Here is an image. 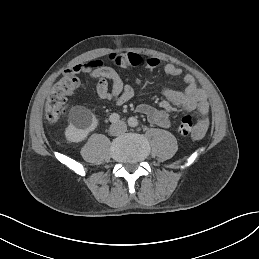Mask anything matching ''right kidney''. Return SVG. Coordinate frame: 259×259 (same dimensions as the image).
Listing matches in <instances>:
<instances>
[{"label":"right kidney","instance_id":"obj_1","mask_svg":"<svg viewBox=\"0 0 259 259\" xmlns=\"http://www.w3.org/2000/svg\"><path fill=\"white\" fill-rule=\"evenodd\" d=\"M69 122L70 124L65 130V136L70 142L84 140L88 133L98 125L95 115L83 106H75L70 110Z\"/></svg>","mask_w":259,"mask_h":259}]
</instances>
